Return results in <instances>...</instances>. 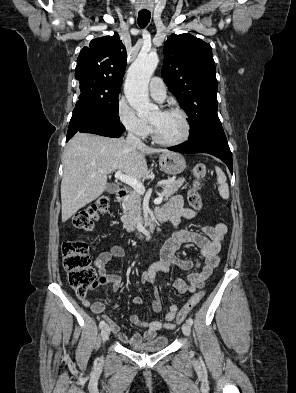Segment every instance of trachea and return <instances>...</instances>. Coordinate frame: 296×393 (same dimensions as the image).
<instances>
[{
  "label": "trachea",
  "mask_w": 296,
  "mask_h": 393,
  "mask_svg": "<svg viewBox=\"0 0 296 393\" xmlns=\"http://www.w3.org/2000/svg\"><path fill=\"white\" fill-rule=\"evenodd\" d=\"M151 18V13L149 11H140L138 13V25L144 28L148 25Z\"/></svg>",
  "instance_id": "trachea-1"
}]
</instances>
